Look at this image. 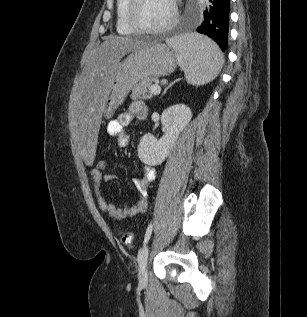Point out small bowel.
Returning a JSON list of instances; mask_svg holds the SVG:
<instances>
[{"mask_svg": "<svg viewBox=\"0 0 307 317\" xmlns=\"http://www.w3.org/2000/svg\"><path fill=\"white\" fill-rule=\"evenodd\" d=\"M147 109L139 101L132 102L129 111L121 113L116 119L110 121L107 125V132L111 137L117 139L118 146L121 148L129 144V135L124 131V127L131 124L133 118L143 120L146 117ZM156 171L151 166H144L140 177L134 179V185L139 192L138 200L131 206L124 209L116 207L108 201L101 191L103 182H110L115 179V175L103 173L92 169L90 179L96 194L99 209L117 221H123L130 217L144 213L148 207L147 189L150 183L154 181Z\"/></svg>", "mask_w": 307, "mask_h": 317, "instance_id": "small-bowel-1", "label": "small bowel"}]
</instances>
